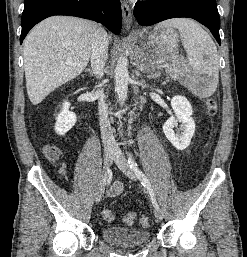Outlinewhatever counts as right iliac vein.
Masks as SVG:
<instances>
[{"label":"right iliac vein","instance_id":"1","mask_svg":"<svg viewBox=\"0 0 247 257\" xmlns=\"http://www.w3.org/2000/svg\"><path fill=\"white\" fill-rule=\"evenodd\" d=\"M113 157H114V152L111 149L105 150V152H104V175H103V178H104L105 175H107V172L109 170V166L112 163ZM103 194H104V184H103V182H101L97 191H96V196H95L96 202H99L102 199Z\"/></svg>","mask_w":247,"mask_h":257}]
</instances>
